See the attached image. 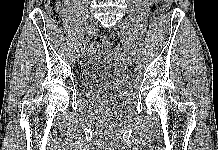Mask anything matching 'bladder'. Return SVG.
<instances>
[{
	"mask_svg": "<svg viewBox=\"0 0 218 150\" xmlns=\"http://www.w3.org/2000/svg\"><path fill=\"white\" fill-rule=\"evenodd\" d=\"M111 54L104 50H92L80 70V82L86 89L109 84L117 74Z\"/></svg>",
	"mask_w": 218,
	"mask_h": 150,
	"instance_id": "obj_1",
	"label": "bladder"
}]
</instances>
